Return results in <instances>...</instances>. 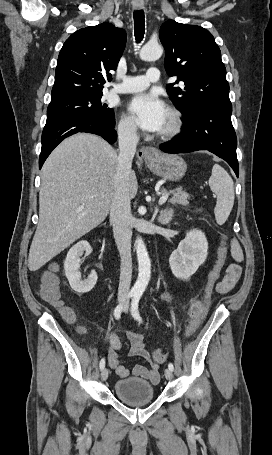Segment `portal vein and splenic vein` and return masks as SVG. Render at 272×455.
Listing matches in <instances>:
<instances>
[{
  "mask_svg": "<svg viewBox=\"0 0 272 455\" xmlns=\"http://www.w3.org/2000/svg\"><path fill=\"white\" fill-rule=\"evenodd\" d=\"M168 196H169V193L163 194L159 200V204H163L164 202H166V200L168 199Z\"/></svg>",
  "mask_w": 272,
  "mask_h": 455,
  "instance_id": "portal-vein-and-splenic-vein-1",
  "label": "portal vein and splenic vein"
}]
</instances>
